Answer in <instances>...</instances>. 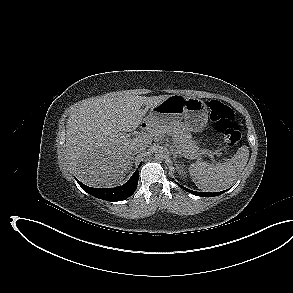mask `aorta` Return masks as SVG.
<instances>
[{
    "instance_id": "aorta-1",
    "label": "aorta",
    "mask_w": 293,
    "mask_h": 293,
    "mask_svg": "<svg viewBox=\"0 0 293 293\" xmlns=\"http://www.w3.org/2000/svg\"><path fill=\"white\" fill-rule=\"evenodd\" d=\"M166 154H167V149L166 148H164V147H158L156 150H155V156L156 157H159V158H161V157H165L166 156Z\"/></svg>"
}]
</instances>
